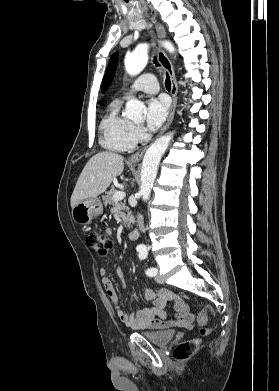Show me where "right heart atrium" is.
Wrapping results in <instances>:
<instances>
[{
  "mask_svg": "<svg viewBox=\"0 0 279 391\" xmlns=\"http://www.w3.org/2000/svg\"><path fill=\"white\" fill-rule=\"evenodd\" d=\"M132 133H133L135 140H138L143 135V129L139 125H133Z\"/></svg>",
  "mask_w": 279,
  "mask_h": 391,
  "instance_id": "obj_1",
  "label": "right heart atrium"
}]
</instances>
